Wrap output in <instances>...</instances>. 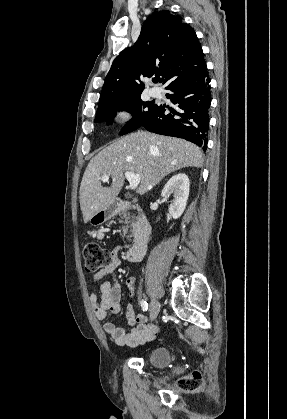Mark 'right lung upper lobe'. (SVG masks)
<instances>
[{"label":"right lung upper lobe","mask_w":287,"mask_h":419,"mask_svg":"<svg viewBox=\"0 0 287 419\" xmlns=\"http://www.w3.org/2000/svg\"><path fill=\"white\" fill-rule=\"evenodd\" d=\"M207 70L194 30L180 16L164 10L147 18L133 47L113 61L98 109L140 97L143 77L160 74L167 87L201 75Z\"/></svg>","instance_id":"right-lung-upper-lobe-1"}]
</instances>
